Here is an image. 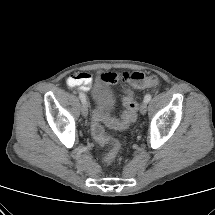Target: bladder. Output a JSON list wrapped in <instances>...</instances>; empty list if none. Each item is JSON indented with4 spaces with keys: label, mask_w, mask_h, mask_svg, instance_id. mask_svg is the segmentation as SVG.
<instances>
[{
    "label": "bladder",
    "mask_w": 215,
    "mask_h": 215,
    "mask_svg": "<svg viewBox=\"0 0 215 215\" xmlns=\"http://www.w3.org/2000/svg\"><path fill=\"white\" fill-rule=\"evenodd\" d=\"M93 97L97 112L103 117H108L115 108L116 97L106 80L101 79L96 83Z\"/></svg>",
    "instance_id": "bladder-1"
}]
</instances>
